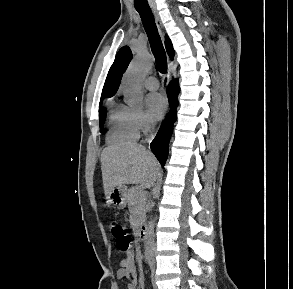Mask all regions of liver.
I'll list each match as a JSON object with an SVG mask.
<instances>
[{"mask_svg":"<svg viewBox=\"0 0 293 289\" xmlns=\"http://www.w3.org/2000/svg\"><path fill=\"white\" fill-rule=\"evenodd\" d=\"M101 170L105 195L116 186L140 184L150 188L156 181L160 166L144 146L125 142L106 147L101 154Z\"/></svg>","mask_w":293,"mask_h":289,"instance_id":"1","label":"liver"}]
</instances>
